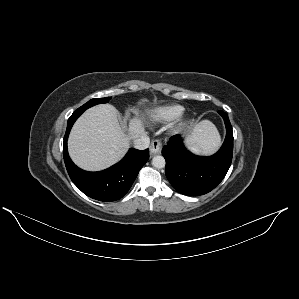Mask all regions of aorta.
<instances>
[{"label":"aorta","instance_id":"1","mask_svg":"<svg viewBox=\"0 0 299 299\" xmlns=\"http://www.w3.org/2000/svg\"><path fill=\"white\" fill-rule=\"evenodd\" d=\"M165 164H166V162H165V159L163 156L157 155V156H154L152 159V165L155 168H164Z\"/></svg>","mask_w":299,"mask_h":299}]
</instances>
